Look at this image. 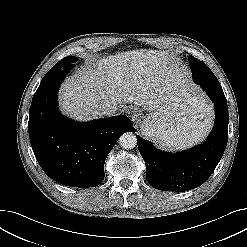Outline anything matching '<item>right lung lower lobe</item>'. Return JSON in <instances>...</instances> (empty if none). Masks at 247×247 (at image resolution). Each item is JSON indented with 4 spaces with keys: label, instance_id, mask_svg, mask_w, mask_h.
<instances>
[{
    "label": "right lung lower lobe",
    "instance_id": "obj_1",
    "mask_svg": "<svg viewBox=\"0 0 247 247\" xmlns=\"http://www.w3.org/2000/svg\"><path fill=\"white\" fill-rule=\"evenodd\" d=\"M69 70H50L42 79L29 111L30 142L50 178L66 186L95 187L104 179L106 157L118 138L135 129L125 115L86 123L62 116L56 97Z\"/></svg>",
    "mask_w": 247,
    "mask_h": 247
}]
</instances>
